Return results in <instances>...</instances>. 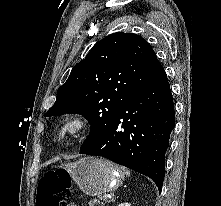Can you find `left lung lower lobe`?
I'll return each instance as SVG.
<instances>
[{"instance_id":"0a47b994","label":"left lung lower lobe","mask_w":221,"mask_h":206,"mask_svg":"<svg viewBox=\"0 0 221 206\" xmlns=\"http://www.w3.org/2000/svg\"><path fill=\"white\" fill-rule=\"evenodd\" d=\"M174 124L173 98L164 73L130 99L111 127L79 153L105 157L144 174L161 191Z\"/></svg>"}]
</instances>
